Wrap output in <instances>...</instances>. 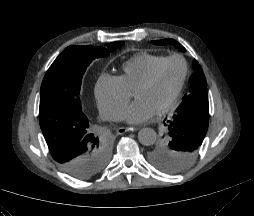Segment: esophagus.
<instances>
[{
	"instance_id": "esophagus-1",
	"label": "esophagus",
	"mask_w": 254,
	"mask_h": 216,
	"mask_svg": "<svg viewBox=\"0 0 254 216\" xmlns=\"http://www.w3.org/2000/svg\"><path fill=\"white\" fill-rule=\"evenodd\" d=\"M137 128L136 127H120L117 129V134L122 135L126 132H133L136 131Z\"/></svg>"
}]
</instances>
